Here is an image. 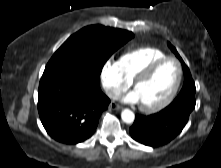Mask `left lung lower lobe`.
<instances>
[{
  "label": "left lung lower lobe",
  "mask_w": 221,
  "mask_h": 168,
  "mask_svg": "<svg viewBox=\"0 0 221 168\" xmlns=\"http://www.w3.org/2000/svg\"><path fill=\"white\" fill-rule=\"evenodd\" d=\"M195 104V91L181 90L175 100L159 113L136 115L130 135L151 147L167 144L181 133Z\"/></svg>",
  "instance_id": "obj_1"
}]
</instances>
